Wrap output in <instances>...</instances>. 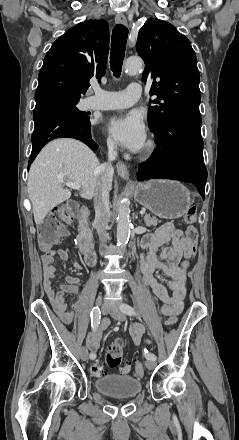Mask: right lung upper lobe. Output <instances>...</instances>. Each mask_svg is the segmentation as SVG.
Masks as SVG:
<instances>
[{"label":"right lung upper lobe","mask_w":239,"mask_h":440,"mask_svg":"<svg viewBox=\"0 0 239 440\" xmlns=\"http://www.w3.org/2000/svg\"><path fill=\"white\" fill-rule=\"evenodd\" d=\"M109 28L105 20L77 24L60 36L46 54L38 76L36 102L57 96L81 97L89 79L106 71Z\"/></svg>","instance_id":"right-lung-upper-lobe-1"}]
</instances>
